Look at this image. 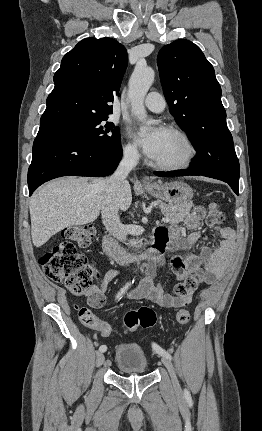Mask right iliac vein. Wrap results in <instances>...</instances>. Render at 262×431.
<instances>
[{
    "instance_id": "63e3f726",
    "label": "right iliac vein",
    "mask_w": 262,
    "mask_h": 431,
    "mask_svg": "<svg viewBox=\"0 0 262 431\" xmlns=\"http://www.w3.org/2000/svg\"><path fill=\"white\" fill-rule=\"evenodd\" d=\"M105 361V356L102 352L98 353L97 355V359H96V364L97 366H101Z\"/></svg>"
}]
</instances>
